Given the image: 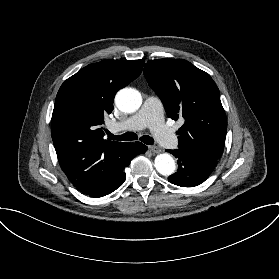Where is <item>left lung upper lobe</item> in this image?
Instances as JSON below:
<instances>
[{"instance_id": "obj_1", "label": "left lung upper lobe", "mask_w": 279, "mask_h": 279, "mask_svg": "<svg viewBox=\"0 0 279 279\" xmlns=\"http://www.w3.org/2000/svg\"><path fill=\"white\" fill-rule=\"evenodd\" d=\"M144 75L167 116L185 120L176 132L178 147L218 160L224 149L227 119L210 75L186 60L170 58L149 60Z\"/></svg>"}]
</instances>
